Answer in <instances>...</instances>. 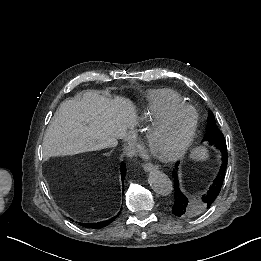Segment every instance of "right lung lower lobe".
<instances>
[{
  "mask_svg": "<svg viewBox=\"0 0 261 261\" xmlns=\"http://www.w3.org/2000/svg\"><path fill=\"white\" fill-rule=\"evenodd\" d=\"M125 173H126V165H125L124 162H122L121 163V179H122V181L125 179ZM119 213L109 220H105V221H101V222H97V223H81V225L86 227V228L101 229V228L109 225L112 221H114L119 216Z\"/></svg>",
  "mask_w": 261,
  "mask_h": 261,
  "instance_id": "right-lung-lower-lobe-1",
  "label": "right lung lower lobe"
}]
</instances>
